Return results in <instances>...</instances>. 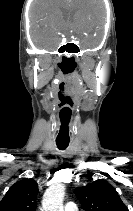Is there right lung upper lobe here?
Returning a JSON list of instances; mask_svg holds the SVG:
<instances>
[{"mask_svg": "<svg viewBox=\"0 0 133 211\" xmlns=\"http://www.w3.org/2000/svg\"><path fill=\"white\" fill-rule=\"evenodd\" d=\"M38 192L33 179H22L12 185L0 201V211H35Z\"/></svg>", "mask_w": 133, "mask_h": 211, "instance_id": "1", "label": "right lung upper lobe"}]
</instances>
